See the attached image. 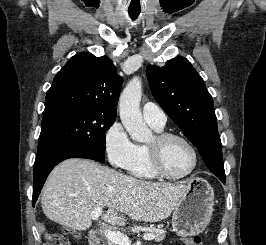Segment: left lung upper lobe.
I'll return each mask as SVG.
<instances>
[{"mask_svg": "<svg viewBox=\"0 0 266 245\" xmlns=\"http://www.w3.org/2000/svg\"><path fill=\"white\" fill-rule=\"evenodd\" d=\"M146 74L159 105L198 148L208 168L225 177L213 100L201 76L184 57L163 67L148 65Z\"/></svg>", "mask_w": 266, "mask_h": 245, "instance_id": "obj_1", "label": "left lung upper lobe"}]
</instances>
